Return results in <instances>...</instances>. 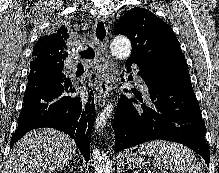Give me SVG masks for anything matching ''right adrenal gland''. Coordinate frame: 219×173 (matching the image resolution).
<instances>
[{
  "instance_id": "right-adrenal-gland-1",
  "label": "right adrenal gland",
  "mask_w": 219,
  "mask_h": 173,
  "mask_svg": "<svg viewBox=\"0 0 219 173\" xmlns=\"http://www.w3.org/2000/svg\"><path fill=\"white\" fill-rule=\"evenodd\" d=\"M66 166H67L68 168H70V165H69V163H68V164H66ZM70 170H71V171H73V168H71Z\"/></svg>"
}]
</instances>
